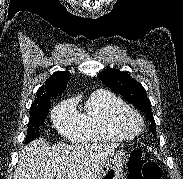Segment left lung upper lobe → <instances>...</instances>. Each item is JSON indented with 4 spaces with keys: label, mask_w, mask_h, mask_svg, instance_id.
Returning a JSON list of instances; mask_svg holds the SVG:
<instances>
[{
    "label": "left lung upper lobe",
    "mask_w": 183,
    "mask_h": 179,
    "mask_svg": "<svg viewBox=\"0 0 183 179\" xmlns=\"http://www.w3.org/2000/svg\"><path fill=\"white\" fill-rule=\"evenodd\" d=\"M98 76L109 88L146 113L148 120L151 122L153 134H155L156 124L151 112V103L143 86L135 81L128 72H121L117 69H106Z\"/></svg>",
    "instance_id": "5c2ea615"
}]
</instances>
